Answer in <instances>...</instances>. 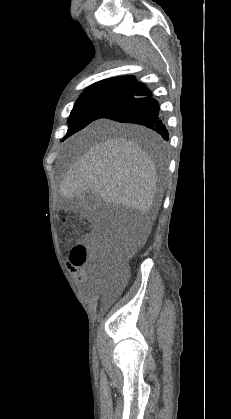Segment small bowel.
I'll return each instance as SVG.
<instances>
[{
    "label": "small bowel",
    "instance_id": "c3829d8e",
    "mask_svg": "<svg viewBox=\"0 0 231 419\" xmlns=\"http://www.w3.org/2000/svg\"><path fill=\"white\" fill-rule=\"evenodd\" d=\"M70 267H72V269L74 268L73 265ZM76 280L78 281V283L83 284L86 283V281L88 280V273L84 268H76Z\"/></svg>",
    "mask_w": 231,
    "mask_h": 419
}]
</instances>
